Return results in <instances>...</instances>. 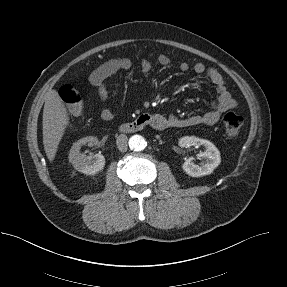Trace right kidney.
Returning <instances> with one entry per match:
<instances>
[{"instance_id":"ca27d5eb","label":"right kidney","mask_w":287,"mask_h":287,"mask_svg":"<svg viewBox=\"0 0 287 287\" xmlns=\"http://www.w3.org/2000/svg\"><path fill=\"white\" fill-rule=\"evenodd\" d=\"M98 139L93 136L85 137L73 144L69 153V162L73 167L84 174L94 175L103 170L105 166V158L101 154H95L94 156H86L81 154L80 149L83 145H96Z\"/></svg>"}]
</instances>
